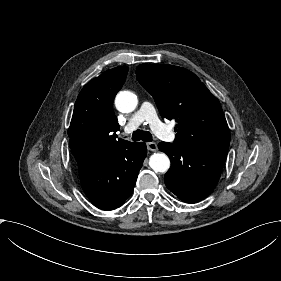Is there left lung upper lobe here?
<instances>
[{"mask_svg":"<svg viewBox=\"0 0 281 281\" xmlns=\"http://www.w3.org/2000/svg\"><path fill=\"white\" fill-rule=\"evenodd\" d=\"M136 76L153 96L161 116L178 123L176 146L228 152L230 132L221 105L195 74L173 65L141 64Z\"/></svg>","mask_w":281,"mask_h":281,"instance_id":"1","label":"left lung upper lobe"}]
</instances>
